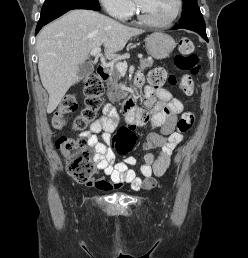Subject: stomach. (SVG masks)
<instances>
[{
    "instance_id": "obj_1",
    "label": "stomach",
    "mask_w": 248,
    "mask_h": 258,
    "mask_svg": "<svg viewBox=\"0 0 248 258\" xmlns=\"http://www.w3.org/2000/svg\"><path fill=\"white\" fill-rule=\"evenodd\" d=\"M174 39L162 32H155L145 39L147 52L155 59H164L174 50Z\"/></svg>"
}]
</instances>
